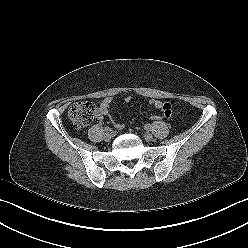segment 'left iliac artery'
I'll use <instances>...</instances> for the list:
<instances>
[{"label":"left iliac artery","instance_id":"left-iliac-artery-1","mask_svg":"<svg viewBox=\"0 0 248 248\" xmlns=\"http://www.w3.org/2000/svg\"><path fill=\"white\" fill-rule=\"evenodd\" d=\"M145 129H146V130H150V129H151L150 124H146V125H145Z\"/></svg>","mask_w":248,"mask_h":248}]
</instances>
